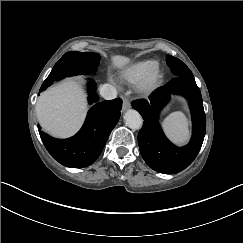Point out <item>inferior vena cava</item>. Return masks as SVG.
I'll list each match as a JSON object with an SVG mask.
<instances>
[{"mask_svg":"<svg viewBox=\"0 0 243 243\" xmlns=\"http://www.w3.org/2000/svg\"><path fill=\"white\" fill-rule=\"evenodd\" d=\"M100 94L106 100H112L117 97V91L114 89L113 86H111L109 84H104L100 88Z\"/></svg>","mask_w":243,"mask_h":243,"instance_id":"inferior-vena-cava-1","label":"inferior vena cava"}]
</instances>
